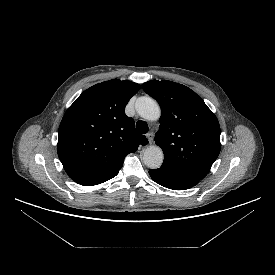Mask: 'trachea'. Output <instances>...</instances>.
Masks as SVG:
<instances>
[{"label":"trachea","instance_id":"obj_1","mask_svg":"<svg viewBox=\"0 0 275 275\" xmlns=\"http://www.w3.org/2000/svg\"><path fill=\"white\" fill-rule=\"evenodd\" d=\"M136 130L141 134H146L149 128L145 121L140 120L136 123Z\"/></svg>","mask_w":275,"mask_h":275}]
</instances>
